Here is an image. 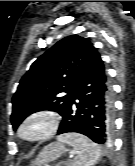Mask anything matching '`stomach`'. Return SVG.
<instances>
[{
  "label": "stomach",
  "instance_id": "stomach-1",
  "mask_svg": "<svg viewBox=\"0 0 135 166\" xmlns=\"http://www.w3.org/2000/svg\"><path fill=\"white\" fill-rule=\"evenodd\" d=\"M67 152L61 142L50 143L38 154L32 166H49L52 161L57 160ZM67 166H71L70 163Z\"/></svg>",
  "mask_w": 135,
  "mask_h": 166
}]
</instances>
